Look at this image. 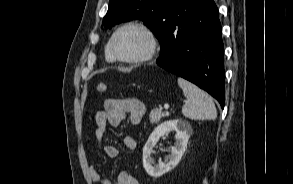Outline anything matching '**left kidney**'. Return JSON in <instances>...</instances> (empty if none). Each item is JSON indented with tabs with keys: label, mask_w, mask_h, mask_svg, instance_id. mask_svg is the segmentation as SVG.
<instances>
[{
	"label": "left kidney",
	"mask_w": 293,
	"mask_h": 184,
	"mask_svg": "<svg viewBox=\"0 0 293 184\" xmlns=\"http://www.w3.org/2000/svg\"><path fill=\"white\" fill-rule=\"evenodd\" d=\"M170 131L176 132V142L174 146L171 147V154L164 162L159 161L158 165L153 166V160L151 158L152 149L157 144L160 137L168 134ZM191 133V125L183 119L165 121L157 126L149 136L143 148V166L147 174L157 178L176 167L187 148Z\"/></svg>",
	"instance_id": "obj_1"
}]
</instances>
